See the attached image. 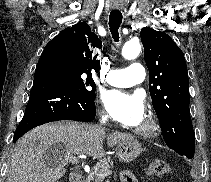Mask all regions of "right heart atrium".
I'll list each match as a JSON object with an SVG mask.
<instances>
[{
  "label": "right heart atrium",
  "mask_w": 211,
  "mask_h": 182,
  "mask_svg": "<svg viewBox=\"0 0 211 182\" xmlns=\"http://www.w3.org/2000/svg\"><path fill=\"white\" fill-rule=\"evenodd\" d=\"M102 117H103V118H106V115H105V114H102Z\"/></svg>",
  "instance_id": "right-heart-atrium-1"
}]
</instances>
